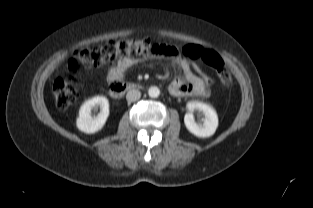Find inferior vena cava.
Masks as SVG:
<instances>
[{
  "mask_svg": "<svg viewBox=\"0 0 313 208\" xmlns=\"http://www.w3.org/2000/svg\"><path fill=\"white\" fill-rule=\"evenodd\" d=\"M141 97V92L137 89H131L127 92L126 99L129 102H134L139 100Z\"/></svg>",
  "mask_w": 313,
  "mask_h": 208,
  "instance_id": "inferior-vena-cava-1",
  "label": "inferior vena cava"
}]
</instances>
